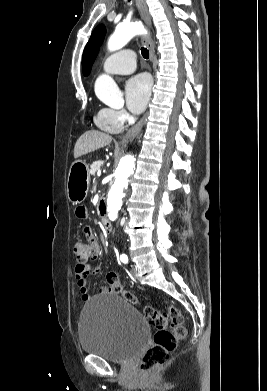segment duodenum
I'll list each match as a JSON object with an SVG mask.
<instances>
[{"mask_svg": "<svg viewBox=\"0 0 267 391\" xmlns=\"http://www.w3.org/2000/svg\"><path fill=\"white\" fill-rule=\"evenodd\" d=\"M104 213H105L104 206L101 204L100 205L101 224L105 230L110 231L111 230V223L108 220V218L105 216Z\"/></svg>", "mask_w": 267, "mask_h": 391, "instance_id": "1", "label": "duodenum"}]
</instances>
